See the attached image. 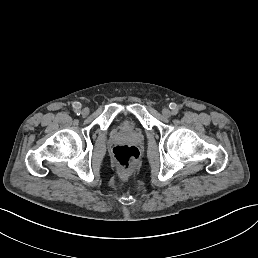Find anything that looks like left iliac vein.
<instances>
[{
	"label": "left iliac vein",
	"mask_w": 258,
	"mask_h": 258,
	"mask_svg": "<svg viewBox=\"0 0 258 258\" xmlns=\"http://www.w3.org/2000/svg\"><path fill=\"white\" fill-rule=\"evenodd\" d=\"M162 113L167 118L171 117V115H172L171 112L169 111V109H167V108L164 109Z\"/></svg>",
	"instance_id": "obj_1"
}]
</instances>
